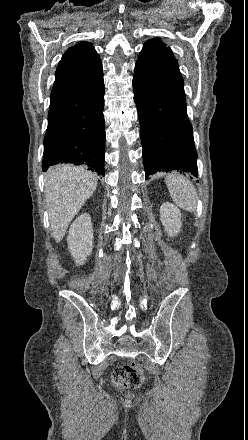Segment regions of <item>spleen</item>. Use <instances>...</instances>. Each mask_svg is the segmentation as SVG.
Here are the masks:
<instances>
[{
	"mask_svg": "<svg viewBox=\"0 0 248 440\" xmlns=\"http://www.w3.org/2000/svg\"><path fill=\"white\" fill-rule=\"evenodd\" d=\"M165 183L173 202L177 206L189 212L196 210L197 192L194 185L187 178L175 173L167 176Z\"/></svg>",
	"mask_w": 248,
	"mask_h": 440,
	"instance_id": "obj_1",
	"label": "spleen"
}]
</instances>
